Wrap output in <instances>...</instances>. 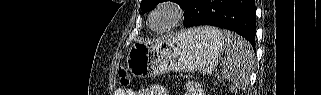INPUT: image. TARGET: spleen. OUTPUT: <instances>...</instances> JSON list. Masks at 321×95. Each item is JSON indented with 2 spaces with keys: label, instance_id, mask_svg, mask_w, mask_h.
I'll return each mask as SVG.
<instances>
[{
  "label": "spleen",
  "instance_id": "obj_1",
  "mask_svg": "<svg viewBox=\"0 0 321 95\" xmlns=\"http://www.w3.org/2000/svg\"><path fill=\"white\" fill-rule=\"evenodd\" d=\"M199 29L216 42L223 43V52H225L226 58L223 62L222 74L225 79L233 82L239 88L245 87L248 84L254 60L251 44L233 32L221 31L213 27Z\"/></svg>",
  "mask_w": 321,
  "mask_h": 95
}]
</instances>
